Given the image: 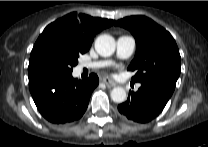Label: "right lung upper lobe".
Masks as SVG:
<instances>
[{
	"instance_id": "obj_1",
	"label": "right lung upper lobe",
	"mask_w": 208,
	"mask_h": 147,
	"mask_svg": "<svg viewBox=\"0 0 208 147\" xmlns=\"http://www.w3.org/2000/svg\"><path fill=\"white\" fill-rule=\"evenodd\" d=\"M115 23L114 20L94 18L85 14L70 13L49 24L37 39L30 55L29 82L45 76V56L59 48L86 53L96 33Z\"/></svg>"
}]
</instances>
